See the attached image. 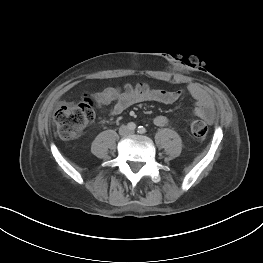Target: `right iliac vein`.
<instances>
[{"mask_svg":"<svg viewBox=\"0 0 263 263\" xmlns=\"http://www.w3.org/2000/svg\"><path fill=\"white\" fill-rule=\"evenodd\" d=\"M127 133H128V129H127L126 127H123V128L121 129V134L125 135V134H127Z\"/></svg>","mask_w":263,"mask_h":263,"instance_id":"right-iliac-vein-1","label":"right iliac vein"}]
</instances>
